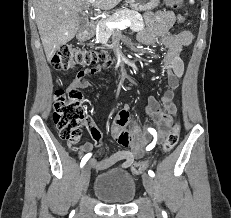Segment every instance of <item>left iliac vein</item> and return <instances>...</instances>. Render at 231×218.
<instances>
[{
  "mask_svg": "<svg viewBox=\"0 0 231 218\" xmlns=\"http://www.w3.org/2000/svg\"><path fill=\"white\" fill-rule=\"evenodd\" d=\"M143 184H144L146 191L153 199L156 211H159V206L157 204V199H156V185H155L154 179L151 176L144 174Z\"/></svg>",
  "mask_w": 231,
  "mask_h": 218,
  "instance_id": "4c4485c4",
  "label": "left iliac vein"
}]
</instances>
